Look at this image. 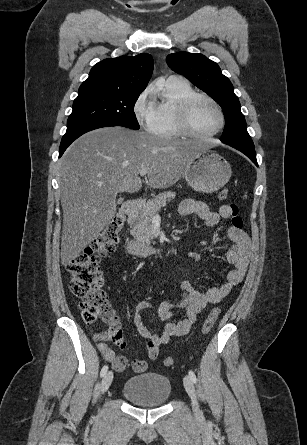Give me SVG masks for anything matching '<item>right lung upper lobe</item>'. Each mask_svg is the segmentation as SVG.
I'll use <instances>...</instances> for the list:
<instances>
[{"instance_id":"1","label":"right lung upper lobe","mask_w":307,"mask_h":445,"mask_svg":"<svg viewBox=\"0 0 307 445\" xmlns=\"http://www.w3.org/2000/svg\"><path fill=\"white\" fill-rule=\"evenodd\" d=\"M153 71V59L147 53L135 57L120 56L95 64L81 84L78 96L92 94L139 96Z\"/></svg>"}]
</instances>
